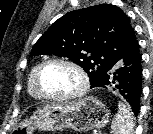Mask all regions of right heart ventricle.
I'll use <instances>...</instances> for the list:
<instances>
[{
    "mask_svg": "<svg viewBox=\"0 0 153 134\" xmlns=\"http://www.w3.org/2000/svg\"><path fill=\"white\" fill-rule=\"evenodd\" d=\"M39 65L40 64H36L35 66H33V68L31 69V71L29 73L28 83H27L28 93L30 94L31 97H33L35 99H41V97L39 96V94L37 93V91L35 89V84H34L35 74H36V71H37Z\"/></svg>",
    "mask_w": 153,
    "mask_h": 134,
    "instance_id": "right-heart-ventricle-1",
    "label": "right heart ventricle"
}]
</instances>
